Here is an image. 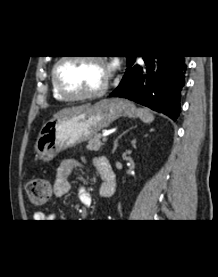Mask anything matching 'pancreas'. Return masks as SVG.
Wrapping results in <instances>:
<instances>
[{
	"mask_svg": "<svg viewBox=\"0 0 218 277\" xmlns=\"http://www.w3.org/2000/svg\"><path fill=\"white\" fill-rule=\"evenodd\" d=\"M100 138H101L100 135H96L95 137L90 139L88 141L86 148L90 151H95V152L101 151L104 143L100 141Z\"/></svg>",
	"mask_w": 218,
	"mask_h": 277,
	"instance_id": "cf45deb5",
	"label": "pancreas"
}]
</instances>
